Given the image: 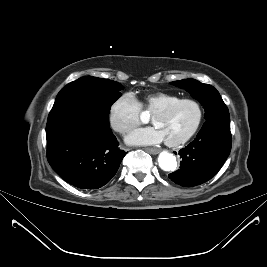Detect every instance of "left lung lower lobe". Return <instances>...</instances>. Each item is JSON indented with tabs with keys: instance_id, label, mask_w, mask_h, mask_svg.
<instances>
[{
	"instance_id": "0a47b994",
	"label": "left lung lower lobe",
	"mask_w": 267,
	"mask_h": 267,
	"mask_svg": "<svg viewBox=\"0 0 267 267\" xmlns=\"http://www.w3.org/2000/svg\"><path fill=\"white\" fill-rule=\"evenodd\" d=\"M231 144L229 117L206 120L195 140L179 151L181 166L169 178L183 187L207 182L226 161Z\"/></svg>"
}]
</instances>
